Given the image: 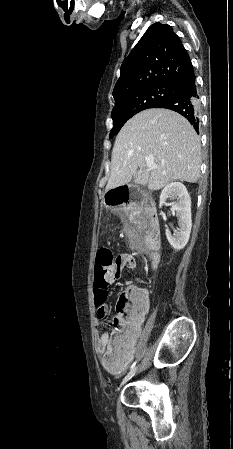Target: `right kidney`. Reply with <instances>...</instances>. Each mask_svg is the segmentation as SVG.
I'll use <instances>...</instances> for the list:
<instances>
[{
	"label": "right kidney",
	"instance_id": "1",
	"mask_svg": "<svg viewBox=\"0 0 233 449\" xmlns=\"http://www.w3.org/2000/svg\"><path fill=\"white\" fill-rule=\"evenodd\" d=\"M168 199L176 200L172 204V209L178 217L179 229L174 233L166 229V237L175 250H181L189 240L192 227L191 199L186 187L180 182H172L162 190L159 207L161 208Z\"/></svg>",
	"mask_w": 233,
	"mask_h": 449
}]
</instances>
